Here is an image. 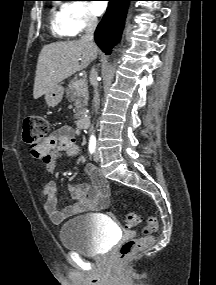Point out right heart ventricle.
I'll return each instance as SVG.
<instances>
[{
  "instance_id": "right-heart-ventricle-1",
  "label": "right heart ventricle",
  "mask_w": 216,
  "mask_h": 285,
  "mask_svg": "<svg viewBox=\"0 0 216 285\" xmlns=\"http://www.w3.org/2000/svg\"><path fill=\"white\" fill-rule=\"evenodd\" d=\"M51 28L54 35L58 37L72 36L66 26L62 8L52 10Z\"/></svg>"
}]
</instances>
